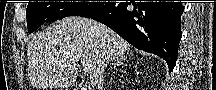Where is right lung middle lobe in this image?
I'll list each match as a JSON object with an SVG mask.
<instances>
[{
    "mask_svg": "<svg viewBox=\"0 0 216 90\" xmlns=\"http://www.w3.org/2000/svg\"><path fill=\"white\" fill-rule=\"evenodd\" d=\"M102 4L100 2H29L26 9L28 32L32 33L44 23L61 20L68 16H80Z\"/></svg>",
    "mask_w": 216,
    "mask_h": 90,
    "instance_id": "right-lung-middle-lobe-1",
    "label": "right lung middle lobe"
}]
</instances>
